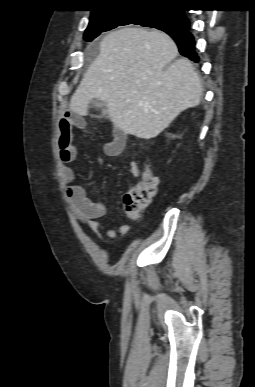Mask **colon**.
Wrapping results in <instances>:
<instances>
[{
    "label": "colon",
    "mask_w": 255,
    "mask_h": 387,
    "mask_svg": "<svg viewBox=\"0 0 255 387\" xmlns=\"http://www.w3.org/2000/svg\"><path fill=\"white\" fill-rule=\"evenodd\" d=\"M158 186V178L151 166L146 165L140 180L128 191L124 198V210L132 220H138L152 202Z\"/></svg>",
    "instance_id": "5ec220e1"
}]
</instances>
